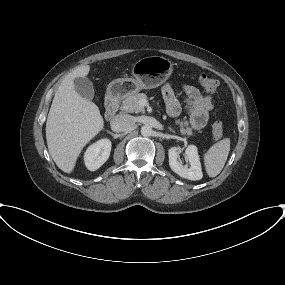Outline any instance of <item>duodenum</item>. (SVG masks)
Instances as JSON below:
<instances>
[{
	"label": "duodenum",
	"instance_id": "obj_1",
	"mask_svg": "<svg viewBox=\"0 0 285 285\" xmlns=\"http://www.w3.org/2000/svg\"><path fill=\"white\" fill-rule=\"evenodd\" d=\"M119 109V98L114 92L108 93L105 101V119L111 120Z\"/></svg>",
	"mask_w": 285,
	"mask_h": 285
}]
</instances>
